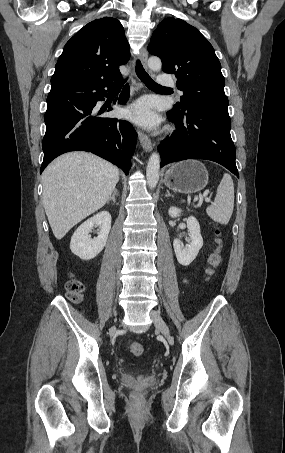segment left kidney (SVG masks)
I'll use <instances>...</instances> for the list:
<instances>
[{
	"mask_svg": "<svg viewBox=\"0 0 285 453\" xmlns=\"http://www.w3.org/2000/svg\"><path fill=\"white\" fill-rule=\"evenodd\" d=\"M168 214L172 218H177L181 214V210L176 207H171ZM187 228L189 230L190 243L183 247L178 239H174L173 247L178 262L183 266H188L198 255L199 250L203 246V238L201 236L200 225L197 219L193 216L187 219Z\"/></svg>",
	"mask_w": 285,
	"mask_h": 453,
	"instance_id": "5707ae66",
	"label": "left kidney"
}]
</instances>
